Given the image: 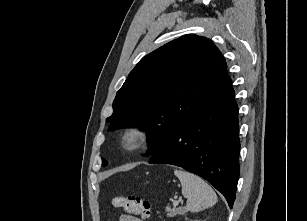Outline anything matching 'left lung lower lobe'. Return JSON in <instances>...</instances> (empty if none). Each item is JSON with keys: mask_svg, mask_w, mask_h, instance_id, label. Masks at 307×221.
Returning <instances> with one entry per match:
<instances>
[{"mask_svg": "<svg viewBox=\"0 0 307 221\" xmlns=\"http://www.w3.org/2000/svg\"><path fill=\"white\" fill-rule=\"evenodd\" d=\"M238 107L230 85L168 139L149 163L172 164L210 182L232 208L239 179Z\"/></svg>", "mask_w": 307, "mask_h": 221, "instance_id": "left-lung-lower-lobe-1", "label": "left lung lower lobe"}]
</instances>
